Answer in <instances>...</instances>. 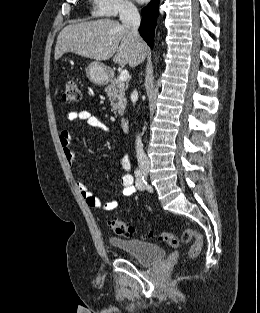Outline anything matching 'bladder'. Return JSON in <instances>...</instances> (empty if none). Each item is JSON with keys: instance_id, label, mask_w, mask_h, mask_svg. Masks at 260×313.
Instances as JSON below:
<instances>
[{"instance_id": "31cf9c89", "label": "bladder", "mask_w": 260, "mask_h": 313, "mask_svg": "<svg viewBox=\"0 0 260 313\" xmlns=\"http://www.w3.org/2000/svg\"><path fill=\"white\" fill-rule=\"evenodd\" d=\"M109 242L112 246L131 255L141 265H150L166 257V252L161 246L141 239L110 237Z\"/></svg>"}]
</instances>
